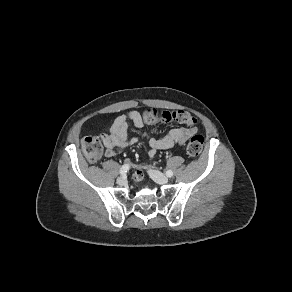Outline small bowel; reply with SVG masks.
<instances>
[{"instance_id":"small-bowel-1","label":"small bowel","mask_w":292,"mask_h":292,"mask_svg":"<svg viewBox=\"0 0 292 292\" xmlns=\"http://www.w3.org/2000/svg\"><path fill=\"white\" fill-rule=\"evenodd\" d=\"M187 114L190 115L188 112ZM145 123L148 122L144 120L142 113L138 111H131L118 116L113 121L109 134L102 136V142L106 148L105 155L107 157H114L125 147L136 143L137 138L129 136L128 127L131 124L135 128L141 129ZM181 124L184 126L170 130L162 138H154L145 133L144 137L149 146L148 156L154 157L160 150L171 149L182 145L197 132V127L194 123ZM143 178L144 173L141 169H138L133 175L135 181H141Z\"/></svg>"}]
</instances>
